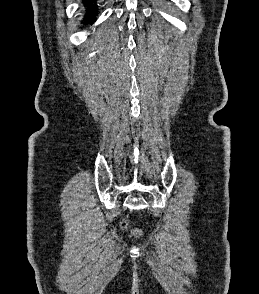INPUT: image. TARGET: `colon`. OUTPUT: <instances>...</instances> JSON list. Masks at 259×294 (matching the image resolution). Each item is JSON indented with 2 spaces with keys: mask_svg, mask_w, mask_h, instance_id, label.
Wrapping results in <instances>:
<instances>
[{
  "mask_svg": "<svg viewBox=\"0 0 259 294\" xmlns=\"http://www.w3.org/2000/svg\"><path fill=\"white\" fill-rule=\"evenodd\" d=\"M127 226H128V223H127V221L126 220H123L122 222H121V227L123 228V229H127ZM134 234H139V230H135L134 231Z\"/></svg>",
  "mask_w": 259,
  "mask_h": 294,
  "instance_id": "5ec220e1",
  "label": "colon"
}]
</instances>
